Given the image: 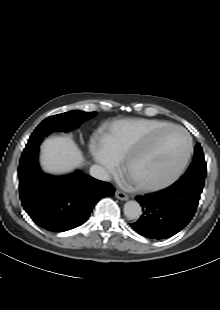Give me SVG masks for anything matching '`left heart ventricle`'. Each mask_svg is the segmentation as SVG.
Wrapping results in <instances>:
<instances>
[{
  "mask_svg": "<svg viewBox=\"0 0 220 310\" xmlns=\"http://www.w3.org/2000/svg\"><path fill=\"white\" fill-rule=\"evenodd\" d=\"M187 149L186 136L177 130L162 133L155 145L137 156L128 169L134 182L158 183L168 178L181 164Z\"/></svg>",
  "mask_w": 220,
  "mask_h": 310,
  "instance_id": "b2bd125f",
  "label": "left heart ventricle"
}]
</instances>
